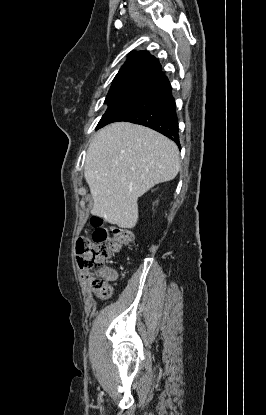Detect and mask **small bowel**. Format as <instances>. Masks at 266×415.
<instances>
[{
	"instance_id": "obj_1",
	"label": "small bowel",
	"mask_w": 266,
	"mask_h": 415,
	"mask_svg": "<svg viewBox=\"0 0 266 415\" xmlns=\"http://www.w3.org/2000/svg\"><path fill=\"white\" fill-rule=\"evenodd\" d=\"M108 271H109V273L111 275V279H115L116 276H117V272L114 269H112V268L108 269Z\"/></svg>"
}]
</instances>
